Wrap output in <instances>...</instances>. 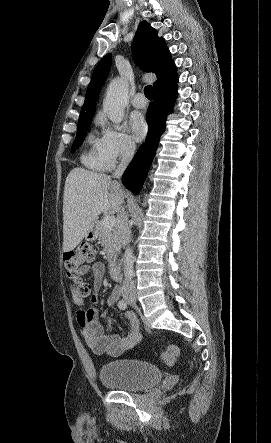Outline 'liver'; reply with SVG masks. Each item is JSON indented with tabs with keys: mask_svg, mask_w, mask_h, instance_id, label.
<instances>
[{
	"mask_svg": "<svg viewBox=\"0 0 271 443\" xmlns=\"http://www.w3.org/2000/svg\"><path fill=\"white\" fill-rule=\"evenodd\" d=\"M124 194L106 174L74 168L68 174L63 196V251L74 249L102 212L123 216Z\"/></svg>",
	"mask_w": 271,
	"mask_h": 443,
	"instance_id": "obj_1",
	"label": "liver"
}]
</instances>
